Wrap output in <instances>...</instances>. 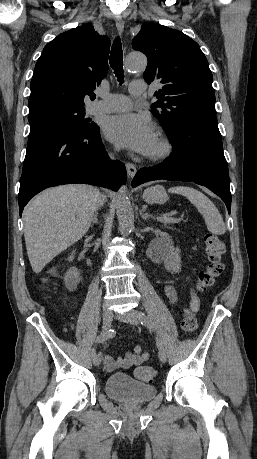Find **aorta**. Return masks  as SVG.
I'll use <instances>...</instances> for the list:
<instances>
[{
	"label": "aorta",
	"mask_w": 257,
	"mask_h": 459,
	"mask_svg": "<svg viewBox=\"0 0 257 459\" xmlns=\"http://www.w3.org/2000/svg\"><path fill=\"white\" fill-rule=\"evenodd\" d=\"M147 59L144 55L131 53L127 56L126 69L128 72L144 70ZM116 213L121 235L128 236L134 228V212L127 195L126 186H121L116 196Z\"/></svg>",
	"instance_id": "1"
}]
</instances>
